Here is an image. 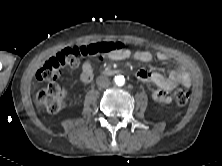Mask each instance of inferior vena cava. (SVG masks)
I'll return each mask as SVG.
<instances>
[{
    "instance_id": "inferior-vena-cava-1",
    "label": "inferior vena cava",
    "mask_w": 222,
    "mask_h": 166,
    "mask_svg": "<svg viewBox=\"0 0 222 166\" xmlns=\"http://www.w3.org/2000/svg\"><path fill=\"white\" fill-rule=\"evenodd\" d=\"M97 85L100 87H107L110 85V80L106 76H100L96 80Z\"/></svg>"
}]
</instances>
